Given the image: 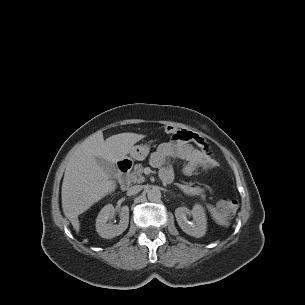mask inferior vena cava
Instances as JSON below:
<instances>
[{"mask_svg": "<svg viewBox=\"0 0 305 305\" xmlns=\"http://www.w3.org/2000/svg\"><path fill=\"white\" fill-rule=\"evenodd\" d=\"M141 190H142L141 185H134L128 189L127 195L128 196L135 195V194L139 193Z\"/></svg>", "mask_w": 305, "mask_h": 305, "instance_id": "1", "label": "inferior vena cava"}]
</instances>
